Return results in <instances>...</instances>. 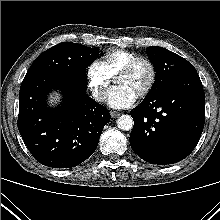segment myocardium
I'll list each match as a JSON object with an SVG mask.
<instances>
[{
    "label": "myocardium",
    "mask_w": 220,
    "mask_h": 220,
    "mask_svg": "<svg viewBox=\"0 0 220 220\" xmlns=\"http://www.w3.org/2000/svg\"><path fill=\"white\" fill-rule=\"evenodd\" d=\"M145 63L150 69V78L143 90L138 94V98L146 97L154 88L157 80V69L152 60L147 57L137 56L136 58L129 61L118 73L119 75L130 73L135 69V67L140 64Z\"/></svg>",
    "instance_id": "f54148a6"
}]
</instances>
